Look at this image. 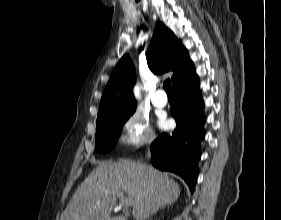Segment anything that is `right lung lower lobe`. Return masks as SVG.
Returning <instances> with one entry per match:
<instances>
[{"instance_id": "98d812e1", "label": "right lung lower lobe", "mask_w": 281, "mask_h": 220, "mask_svg": "<svg viewBox=\"0 0 281 220\" xmlns=\"http://www.w3.org/2000/svg\"><path fill=\"white\" fill-rule=\"evenodd\" d=\"M170 109L177 128L172 135L162 134L151 145L152 164L160 170L180 175L194 191L201 157L200 142L204 138L203 101L199 79L173 88Z\"/></svg>"}]
</instances>
